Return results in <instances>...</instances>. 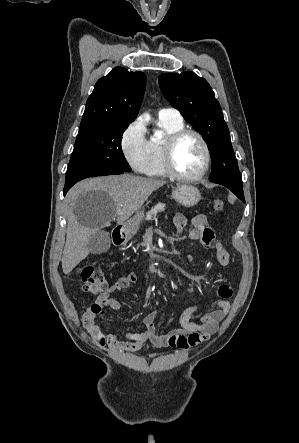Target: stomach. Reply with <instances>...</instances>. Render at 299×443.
Listing matches in <instances>:
<instances>
[{
    "label": "stomach",
    "mask_w": 299,
    "mask_h": 443,
    "mask_svg": "<svg viewBox=\"0 0 299 443\" xmlns=\"http://www.w3.org/2000/svg\"><path fill=\"white\" fill-rule=\"evenodd\" d=\"M172 198L185 207H192L201 200V193L195 186L184 184L179 185L173 190ZM143 212H138L124 224L125 242L129 241L136 234L143 217Z\"/></svg>",
    "instance_id": "stomach-1"
}]
</instances>
